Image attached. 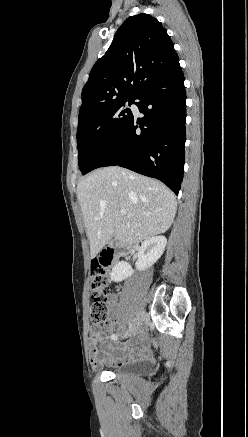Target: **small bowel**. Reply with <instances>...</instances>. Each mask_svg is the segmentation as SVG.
Instances as JSON below:
<instances>
[{"instance_id":"c3829d8e","label":"small bowel","mask_w":248,"mask_h":437,"mask_svg":"<svg viewBox=\"0 0 248 437\" xmlns=\"http://www.w3.org/2000/svg\"><path fill=\"white\" fill-rule=\"evenodd\" d=\"M107 301L114 309L118 303V296L114 293L109 294ZM115 327L116 324L114 320L106 325V328L110 331L114 330ZM89 336L91 363L94 368L113 363L120 364L133 359L145 358L150 355L147 338L142 332L135 333L128 342L120 346L110 343L101 333L99 327L91 328Z\"/></svg>"}]
</instances>
